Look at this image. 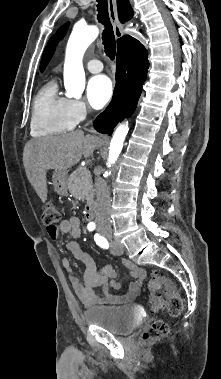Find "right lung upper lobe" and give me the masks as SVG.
Masks as SVG:
<instances>
[{"mask_svg":"<svg viewBox=\"0 0 221 379\" xmlns=\"http://www.w3.org/2000/svg\"><path fill=\"white\" fill-rule=\"evenodd\" d=\"M118 14L121 22H125L132 18L133 11L126 0H118Z\"/></svg>","mask_w":221,"mask_h":379,"instance_id":"1","label":"right lung upper lobe"}]
</instances>
